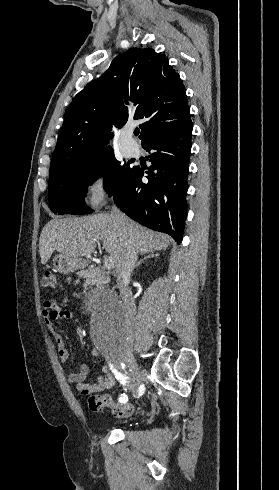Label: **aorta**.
I'll return each instance as SVG.
<instances>
[{
    "label": "aorta",
    "instance_id": "1",
    "mask_svg": "<svg viewBox=\"0 0 279 490\" xmlns=\"http://www.w3.org/2000/svg\"><path fill=\"white\" fill-rule=\"evenodd\" d=\"M90 331L94 342L105 352L129 338L122 302L115 294L102 292L91 307Z\"/></svg>",
    "mask_w": 279,
    "mask_h": 490
}]
</instances>
